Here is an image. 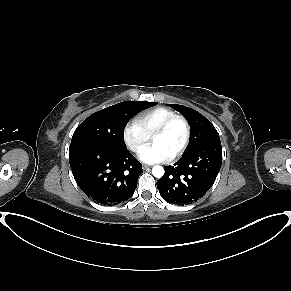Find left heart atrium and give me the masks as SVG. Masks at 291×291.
I'll use <instances>...</instances> for the list:
<instances>
[{"label":"left heart atrium","mask_w":291,"mask_h":291,"mask_svg":"<svg viewBox=\"0 0 291 291\" xmlns=\"http://www.w3.org/2000/svg\"><path fill=\"white\" fill-rule=\"evenodd\" d=\"M172 156L162 145L155 143L143 146L138 152L139 159L149 164L167 162Z\"/></svg>","instance_id":"left-heart-atrium-1"}]
</instances>
